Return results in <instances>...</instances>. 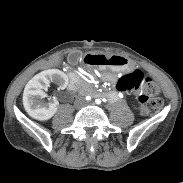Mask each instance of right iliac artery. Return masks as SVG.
Wrapping results in <instances>:
<instances>
[{
    "instance_id": "obj_1",
    "label": "right iliac artery",
    "mask_w": 183,
    "mask_h": 183,
    "mask_svg": "<svg viewBox=\"0 0 183 183\" xmlns=\"http://www.w3.org/2000/svg\"><path fill=\"white\" fill-rule=\"evenodd\" d=\"M86 100H91V97L90 96H86Z\"/></svg>"
}]
</instances>
